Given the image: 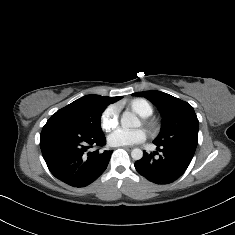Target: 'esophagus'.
<instances>
[{
    "instance_id": "esophagus-1",
    "label": "esophagus",
    "mask_w": 235,
    "mask_h": 235,
    "mask_svg": "<svg viewBox=\"0 0 235 235\" xmlns=\"http://www.w3.org/2000/svg\"><path fill=\"white\" fill-rule=\"evenodd\" d=\"M123 149L131 151L134 147L133 146H122Z\"/></svg>"
}]
</instances>
